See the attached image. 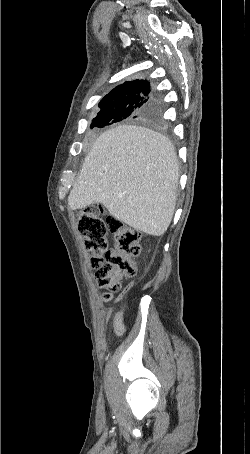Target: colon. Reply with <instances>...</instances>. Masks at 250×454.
Here are the masks:
<instances>
[{
    "label": "colon",
    "instance_id": "1",
    "mask_svg": "<svg viewBox=\"0 0 250 454\" xmlns=\"http://www.w3.org/2000/svg\"><path fill=\"white\" fill-rule=\"evenodd\" d=\"M77 226L90 253V266L108 301L120 290L122 279L136 273L133 259L141 252L140 234L116 218L105 217L94 205L79 212ZM109 233L114 235V247Z\"/></svg>",
    "mask_w": 250,
    "mask_h": 454
}]
</instances>
